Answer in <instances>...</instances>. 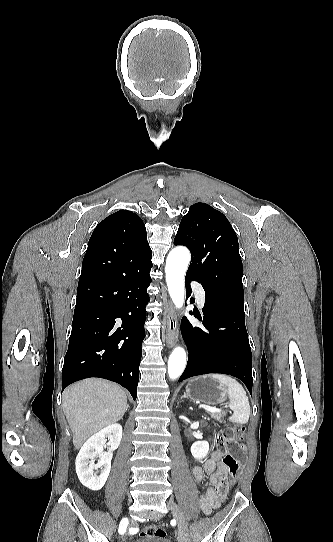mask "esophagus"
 Masks as SVG:
<instances>
[{
  "mask_svg": "<svg viewBox=\"0 0 333 542\" xmlns=\"http://www.w3.org/2000/svg\"><path fill=\"white\" fill-rule=\"evenodd\" d=\"M166 344L168 348L174 347L178 338L177 314L173 306L167 312Z\"/></svg>",
  "mask_w": 333,
  "mask_h": 542,
  "instance_id": "34e87169",
  "label": "esophagus"
}]
</instances>
